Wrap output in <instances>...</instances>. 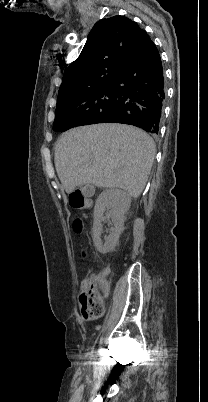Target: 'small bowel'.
I'll use <instances>...</instances> for the list:
<instances>
[{"label":"small bowel","instance_id":"obj_1","mask_svg":"<svg viewBox=\"0 0 208 402\" xmlns=\"http://www.w3.org/2000/svg\"><path fill=\"white\" fill-rule=\"evenodd\" d=\"M95 296L101 298L100 295H95ZM88 321H89L90 324H97V323H99L100 318L97 315H90L89 318H88Z\"/></svg>","mask_w":208,"mask_h":402}]
</instances>
